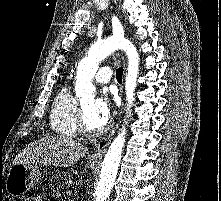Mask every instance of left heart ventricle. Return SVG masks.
Returning <instances> with one entry per match:
<instances>
[{"instance_id":"obj_1","label":"left heart ventricle","mask_w":221,"mask_h":201,"mask_svg":"<svg viewBox=\"0 0 221 201\" xmlns=\"http://www.w3.org/2000/svg\"><path fill=\"white\" fill-rule=\"evenodd\" d=\"M94 102V99H88L86 101H83L81 104L83 107L87 126L95 130L103 126L104 123L100 121L94 114Z\"/></svg>"}]
</instances>
